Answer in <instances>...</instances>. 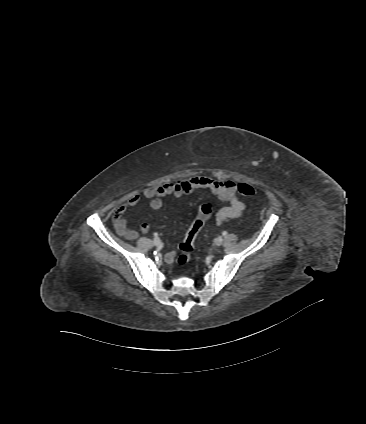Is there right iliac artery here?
<instances>
[{
    "label": "right iliac artery",
    "instance_id": "right-iliac-artery-1",
    "mask_svg": "<svg viewBox=\"0 0 366 424\" xmlns=\"http://www.w3.org/2000/svg\"><path fill=\"white\" fill-rule=\"evenodd\" d=\"M154 237H158V234L157 233H154Z\"/></svg>",
    "mask_w": 366,
    "mask_h": 424
}]
</instances>
